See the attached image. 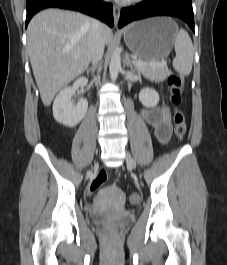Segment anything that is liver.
<instances>
[{"label":"liver","instance_id":"1","mask_svg":"<svg viewBox=\"0 0 227 265\" xmlns=\"http://www.w3.org/2000/svg\"><path fill=\"white\" fill-rule=\"evenodd\" d=\"M91 28V18L73 11L47 9L31 19L27 28V50L45 106L88 68ZM101 33L104 43H109L112 30L101 24Z\"/></svg>","mask_w":227,"mask_h":265}]
</instances>
